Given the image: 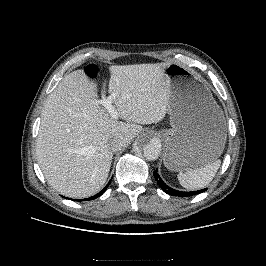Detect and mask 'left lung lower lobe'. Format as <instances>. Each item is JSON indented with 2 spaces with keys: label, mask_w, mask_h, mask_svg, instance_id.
I'll list each match as a JSON object with an SVG mask.
<instances>
[{
  "label": "left lung lower lobe",
  "mask_w": 266,
  "mask_h": 266,
  "mask_svg": "<svg viewBox=\"0 0 266 266\" xmlns=\"http://www.w3.org/2000/svg\"><path fill=\"white\" fill-rule=\"evenodd\" d=\"M154 177L155 180L157 181L158 185L161 187V189L172 196H179V197H189V196H193L195 194H199L202 193L204 191H206V189H202V190H198V191H192V192H182V191H177L175 189H172L171 187H169L168 185H166L163 180L161 179V177L159 176V174L157 173V170L154 171Z\"/></svg>",
  "instance_id": "0a47b994"
}]
</instances>
